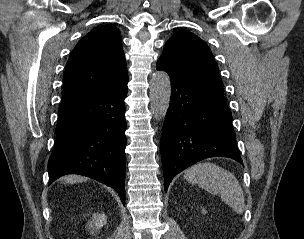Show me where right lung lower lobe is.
<instances>
[{"label": "right lung lower lobe", "instance_id": "right-lung-lower-lobe-1", "mask_svg": "<svg viewBox=\"0 0 304 239\" xmlns=\"http://www.w3.org/2000/svg\"><path fill=\"white\" fill-rule=\"evenodd\" d=\"M127 83L128 74L58 110L49 184L65 174L84 175L115 189L125 204Z\"/></svg>", "mask_w": 304, "mask_h": 239}]
</instances>
